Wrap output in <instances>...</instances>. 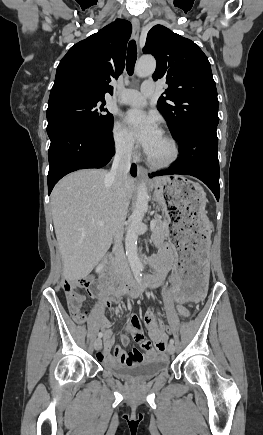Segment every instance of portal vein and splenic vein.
<instances>
[{
  "instance_id": "18ae733b",
  "label": "portal vein and splenic vein",
  "mask_w": 263,
  "mask_h": 435,
  "mask_svg": "<svg viewBox=\"0 0 263 435\" xmlns=\"http://www.w3.org/2000/svg\"><path fill=\"white\" fill-rule=\"evenodd\" d=\"M97 224H98V225H102L103 222L100 221V222H98ZM155 227H156V219H153V220L150 222V230L153 231V230L155 229Z\"/></svg>"
}]
</instances>
